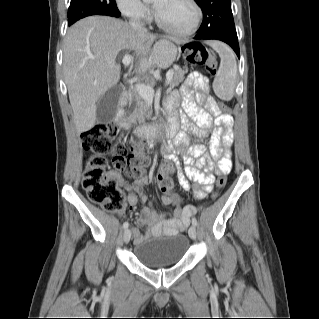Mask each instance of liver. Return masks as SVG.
Segmentation results:
<instances>
[{"label":"liver","instance_id":"6515ba94","mask_svg":"<svg viewBox=\"0 0 319 319\" xmlns=\"http://www.w3.org/2000/svg\"><path fill=\"white\" fill-rule=\"evenodd\" d=\"M157 36L134 30L130 24L107 16H91L72 25L63 48V71L78 133L96 122V104L120 79L116 58L122 51L139 57L140 69L155 64L148 54Z\"/></svg>","mask_w":319,"mask_h":319}]
</instances>
